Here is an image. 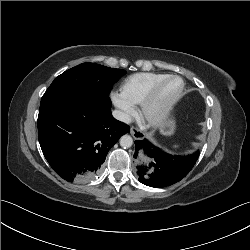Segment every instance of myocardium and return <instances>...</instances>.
<instances>
[{"label":"myocardium","mask_w":250,"mask_h":250,"mask_svg":"<svg viewBox=\"0 0 250 250\" xmlns=\"http://www.w3.org/2000/svg\"><path fill=\"white\" fill-rule=\"evenodd\" d=\"M173 79H178L181 81L180 90L173 98H171L166 103V105L162 109H160L157 112H152V108L158 98L160 90L168 81ZM184 88H185V82L183 78L178 75H167L166 77L156 82L140 103L139 115L140 118L143 120V122H145L147 125L151 127H159L163 125L168 120L176 104L182 97Z\"/></svg>","instance_id":"obj_1"}]
</instances>
